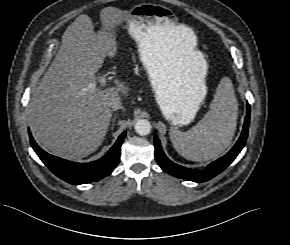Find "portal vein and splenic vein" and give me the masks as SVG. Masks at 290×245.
Here are the masks:
<instances>
[{"label":"portal vein and splenic vein","instance_id":"obj_1","mask_svg":"<svg viewBox=\"0 0 290 245\" xmlns=\"http://www.w3.org/2000/svg\"><path fill=\"white\" fill-rule=\"evenodd\" d=\"M98 82H99V87H100V88H102V87H106L107 84H108L107 78H106L105 76H101V77H99ZM95 88H96V85H95V84H90V85H89V89H90V90H93V89H95Z\"/></svg>","mask_w":290,"mask_h":245}]
</instances>
